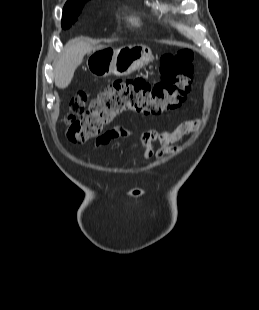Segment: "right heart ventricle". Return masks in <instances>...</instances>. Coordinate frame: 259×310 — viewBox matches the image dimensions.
I'll use <instances>...</instances> for the list:
<instances>
[{
	"label": "right heart ventricle",
	"mask_w": 259,
	"mask_h": 310,
	"mask_svg": "<svg viewBox=\"0 0 259 310\" xmlns=\"http://www.w3.org/2000/svg\"><path fill=\"white\" fill-rule=\"evenodd\" d=\"M131 21H132V23H134V24H136V25L139 24V21H138L137 19H135V18H132Z\"/></svg>",
	"instance_id": "1"
}]
</instances>
